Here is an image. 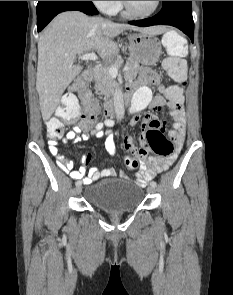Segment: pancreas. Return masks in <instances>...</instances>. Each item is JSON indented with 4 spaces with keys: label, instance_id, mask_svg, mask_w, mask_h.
Segmentation results:
<instances>
[{
    "label": "pancreas",
    "instance_id": "pancreas-1",
    "mask_svg": "<svg viewBox=\"0 0 233 295\" xmlns=\"http://www.w3.org/2000/svg\"><path fill=\"white\" fill-rule=\"evenodd\" d=\"M121 63V60H114L110 64L99 67L96 71L94 89L104 95L105 98H108L117 86L116 80L109 73V68L112 66L119 68ZM126 65L129 66V70L126 71L125 75L134 78L139 71V62L130 57L127 59Z\"/></svg>",
    "mask_w": 233,
    "mask_h": 295
}]
</instances>
